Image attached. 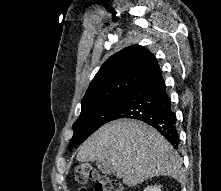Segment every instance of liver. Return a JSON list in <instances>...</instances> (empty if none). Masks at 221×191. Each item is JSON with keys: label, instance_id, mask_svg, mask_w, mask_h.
<instances>
[{"label": "liver", "instance_id": "6515ba94", "mask_svg": "<svg viewBox=\"0 0 221 191\" xmlns=\"http://www.w3.org/2000/svg\"><path fill=\"white\" fill-rule=\"evenodd\" d=\"M77 160L109 162L129 187L154 176L184 178L181 158L171 144L137 120L119 119L103 125L80 147Z\"/></svg>", "mask_w": 221, "mask_h": 191}]
</instances>
